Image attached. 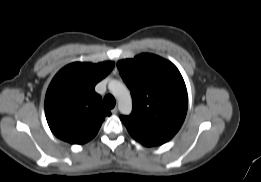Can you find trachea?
Returning <instances> with one entry per match:
<instances>
[{"instance_id": "3493384b", "label": "trachea", "mask_w": 261, "mask_h": 182, "mask_svg": "<svg viewBox=\"0 0 261 182\" xmlns=\"http://www.w3.org/2000/svg\"><path fill=\"white\" fill-rule=\"evenodd\" d=\"M115 104H116V101H115V98L112 95H106L104 97V105L107 108L112 109V108H114Z\"/></svg>"}]
</instances>
